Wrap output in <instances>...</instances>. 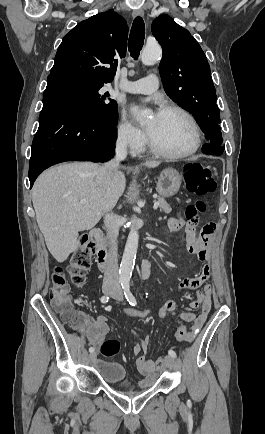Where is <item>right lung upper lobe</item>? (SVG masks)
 Wrapping results in <instances>:
<instances>
[{
	"mask_svg": "<svg viewBox=\"0 0 265 434\" xmlns=\"http://www.w3.org/2000/svg\"><path fill=\"white\" fill-rule=\"evenodd\" d=\"M128 26L113 9L80 22L65 35L48 77L85 75L111 82L126 55Z\"/></svg>",
	"mask_w": 265,
	"mask_h": 434,
	"instance_id": "1",
	"label": "right lung upper lobe"
}]
</instances>
